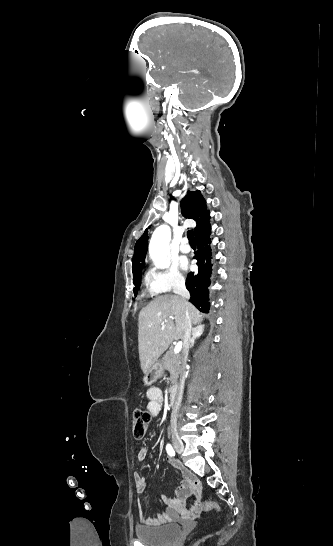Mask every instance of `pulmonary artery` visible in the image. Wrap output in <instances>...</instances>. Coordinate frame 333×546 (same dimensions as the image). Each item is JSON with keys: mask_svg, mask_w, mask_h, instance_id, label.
<instances>
[{"mask_svg": "<svg viewBox=\"0 0 333 546\" xmlns=\"http://www.w3.org/2000/svg\"><path fill=\"white\" fill-rule=\"evenodd\" d=\"M179 249L182 253H189L191 251V248L186 239L182 240Z\"/></svg>", "mask_w": 333, "mask_h": 546, "instance_id": "e3ab8cb5", "label": "pulmonary artery"}]
</instances>
